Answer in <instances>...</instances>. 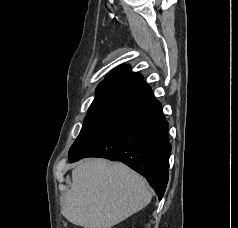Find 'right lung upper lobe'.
<instances>
[{
	"label": "right lung upper lobe",
	"instance_id": "cb5924a9",
	"mask_svg": "<svg viewBox=\"0 0 238 228\" xmlns=\"http://www.w3.org/2000/svg\"><path fill=\"white\" fill-rule=\"evenodd\" d=\"M154 99L142 75L132 72L128 65H120L97 87L87 114L122 116Z\"/></svg>",
	"mask_w": 238,
	"mask_h": 228
}]
</instances>
